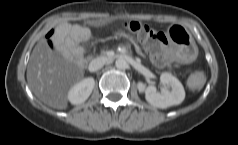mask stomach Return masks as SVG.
<instances>
[{"mask_svg":"<svg viewBox=\"0 0 238 145\" xmlns=\"http://www.w3.org/2000/svg\"><path fill=\"white\" fill-rule=\"evenodd\" d=\"M166 36L184 58H192L199 51V44L194 35L187 31L183 25H172L167 29Z\"/></svg>","mask_w":238,"mask_h":145,"instance_id":"0dacf381","label":"stomach"}]
</instances>
